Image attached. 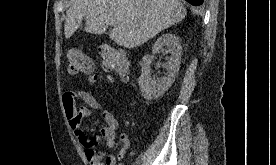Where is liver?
Listing matches in <instances>:
<instances>
[{
    "label": "liver",
    "mask_w": 276,
    "mask_h": 165,
    "mask_svg": "<svg viewBox=\"0 0 276 165\" xmlns=\"http://www.w3.org/2000/svg\"><path fill=\"white\" fill-rule=\"evenodd\" d=\"M185 16L179 0H75L67 11L64 32L70 38L85 19L86 32L100 35L111 25V40L135 48Z\"/></svg>",
    "instance_id": "6515ba94"
}]
</instances>
